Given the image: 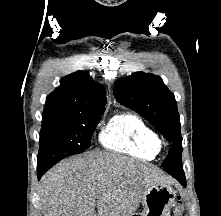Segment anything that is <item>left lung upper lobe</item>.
Instances as JSON below:
<instances>
[{
  "label": "left lung upper lobe",
  "instance_id": "obj_1",
  "mask_svg": "<svg viewBox=\"0 0 221 216\" xmlns=\"http://www.w3.org/2000/svg\"><path fill=\"white\" fill-rule=\"evenodd\" d=\"M114 96L118 102L148 120L172 142L162 166L172 176L180 174L183 169L179 114L174 94L164 85L162 79L154 74L135 72L117 80Z\"/></svg>",
  "mask_w": 221,
  "mask_h": 216
}]
</instances>
